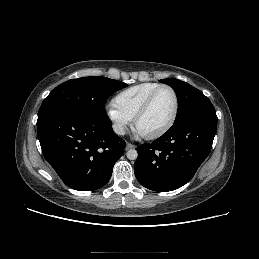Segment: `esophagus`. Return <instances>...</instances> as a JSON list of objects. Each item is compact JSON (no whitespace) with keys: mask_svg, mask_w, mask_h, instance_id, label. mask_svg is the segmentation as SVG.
Returning <instances> with one entry per match:
<instances>
[{"mask_svg":"<svg viewBox=\"0 0 259 259\" xmlns=\"http://www.w3.org/2000/svg\"><path fill=\"white\" fill-rule=\"evenodd\" d=\"M132 148H135V145H133V144H131V143H127V144H126V150L132 149Z\"/></svg>","mask_w":259,"mask_h":259,"instance_id":"esophagus-1","label":"esophagus"}]
</instances>
